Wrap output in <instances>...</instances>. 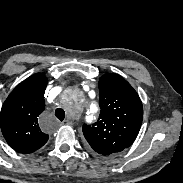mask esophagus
I'll return each mask as SVG.
<instances>
[{
  "mask_svg": "<svg viewBox=\"0 0 183 183\" xmlns=\"http://www.w3.org/2000/svg\"><path fill=\"white\" fill-rule=\"evenodd\" d=\"M63 126H69V125H72L73 123L69 120H64L62 123H61Z\"/></svg>",
  "mask_w": 183,
  "mask_h": 183,
  "instance_id": "esophagus-1",
  "label": "esophagus"
}]
</instances>
